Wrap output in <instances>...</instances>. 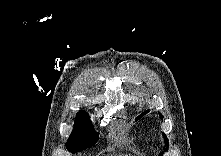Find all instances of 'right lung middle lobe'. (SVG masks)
<instances>
[{
    "label": "right lung middle lobe",
    "mask_w": 221,
    "mask_h": 156,
    "mask_svg": "<svg viewBox=\"0 0 221 156\" xmlns=\"http://www.w3.org/2000/svg\"><path fill=\"white\" fill-rule=\"evenodd\" d=\"M98 136L99 133L94 131L89 115L84 111H80L76 115L74 130L67 140L66 148L70 152L89 148L97 143Z\"/></svg>",
    "instance_id": "1"
}]
</instances>
